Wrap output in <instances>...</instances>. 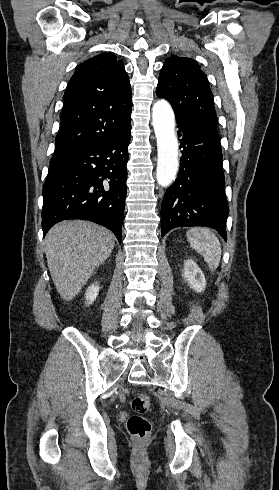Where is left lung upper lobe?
<instances>
[{
    "label": "left lung upper lobe",
    "mask_w": 279,
    "mask_h": 490,
    "mask_svg": "<svg viewBox=\"0 0 279 490\" xmlns=\"http://www.w3.org/2000/svg\"><path fill=\"white\" fill-rule=\"evenodd\" d=\"M156 94L171 103L176 117L217 128L213 94L207 76L193 59L175 55L166 59Z\"/></svg>",
    "instance_id": "1"
}]
</instances>
